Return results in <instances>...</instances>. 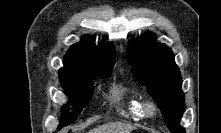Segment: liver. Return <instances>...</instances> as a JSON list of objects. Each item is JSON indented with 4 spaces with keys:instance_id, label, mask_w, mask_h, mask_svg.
Here are the masks:
<instances>
[{
    "instance_id": "obj_1",
    "label": "liver",
    "mask_w": 221,
    "mask_h": 133,
    "mask_svg": "<svg viewBox=\"0 0 221 133\" xmlns=\"http://www.w3.org/2000/svg\"><path fill=\"white\" fill-rule=\"evenodd\" d=\"M133 126L123 123H107L89 131V133H131Z\"/></svg>"
}]
</instances>
